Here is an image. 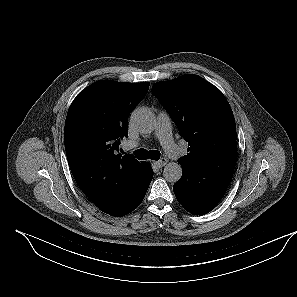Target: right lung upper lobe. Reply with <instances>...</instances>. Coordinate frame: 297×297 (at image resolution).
<instances>
[{"instance_id": "cb5924a9", "label": "right lung upper lobe", "mask_w": 297, "mask_h": 297, "mask_svg": "<svg viewBox=\"0 0 297 297\" xmlns=\"http://www.w3.org/2000/svg\"><path fill=\"white\" fill-rule=\"evenodd\" d=\"M149 85L97 81L68 110L64 141L71 172L84 194L105 213L120 206L146 175L145 162L117 150L119 140L128 136L129 114Z\"/></svg>"}]
</instances>
